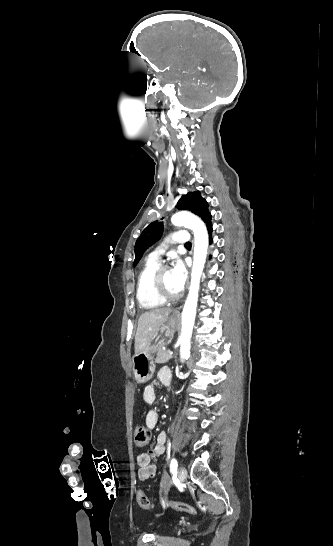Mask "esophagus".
Here are the masks:
<instances>
[{
  "label": "esophagus",
  "mask_w": 333,
  "mask_h": 546,
  "mask_svg": "<svg viewBox=\"0 0 333 546\" xmlns=\"http://www.w3.org/2000/svg\"><path fill=\"white\" fill-rule=\"evenodd\" d=\"M175 314H176V315H178V314H179V312L177 311V312H175Z\"/></svg>",
  "instance_id": "34e87169"
}]
</instances>
